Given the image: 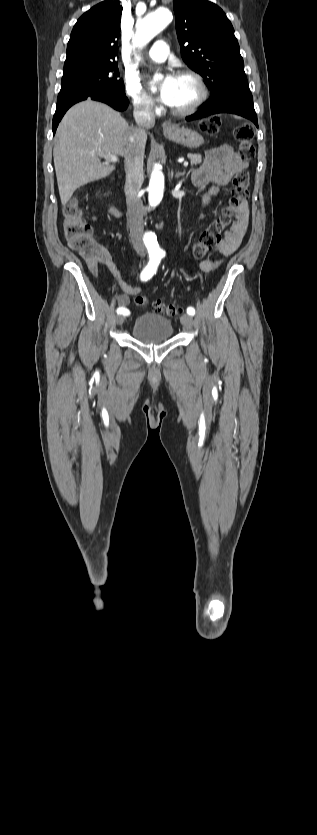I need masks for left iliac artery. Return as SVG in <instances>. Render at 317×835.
Wrapping results in <instances>:
<instances>
[{
  "instance_id": "44dca946",
  "label": "left iliac artery",
  "mask_w": 317,
  "mask_h": 835,
  "mask_svg": "<svg viewBox=\"0 0 317 835\" xmlns=\"http://www.w3.org/2000/svg\"><path fill=\"white\" fill-rule=\"evenodd\" d=\"M164 256H165V252H164V251H162V252L160 253V258H162V257H164ZM187 314H189V315L193 316V315L195 314V309H194L193 307H188V308H187Z\"/></svg>"
}]
</instances>
